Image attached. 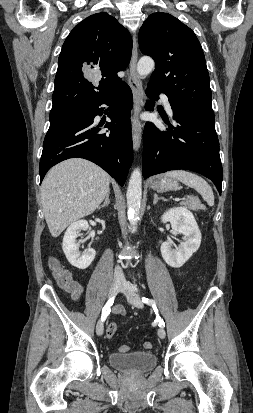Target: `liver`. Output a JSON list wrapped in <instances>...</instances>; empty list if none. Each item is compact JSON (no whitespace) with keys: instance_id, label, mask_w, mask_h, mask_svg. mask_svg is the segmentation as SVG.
Returning <instances> with one entry per match:
<instances>
[{"instance_id":"1","label":"liver","mask_w":253,"mask_h":413,"mask_svg":"<svg viewBox=\"0 0 253 413\" xmlns=\"http://www.w3.org/2000/svg\"><path fill=\"white\" fill-rule=\"evenodd\" d=\"M110 176L81 158L49 170L41 185V203L49 231L58 237L73 222L93 213L105 199Z\"/></svg>"}]
</instances>
